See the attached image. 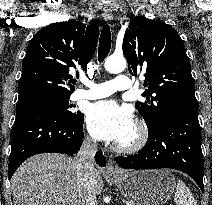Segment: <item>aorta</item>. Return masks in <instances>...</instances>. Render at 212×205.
<instances>
[{
  "label": "aorta",
  "mask_w": 212,
  "mask_h": 205,
  "mask_svg": "<svg viewBox=\"0 0 212 205\" xmlns=\"http://www.w3.org/2000/svg\"><path fill=\"white\" fill-rule=\"evenodd\" d=\"M127 66L126 59L123 56L112 55L105 60L104 67L109 73H120Z\"/></svg>",
  "instance_id": "aorta-1"
}]
</instances>
